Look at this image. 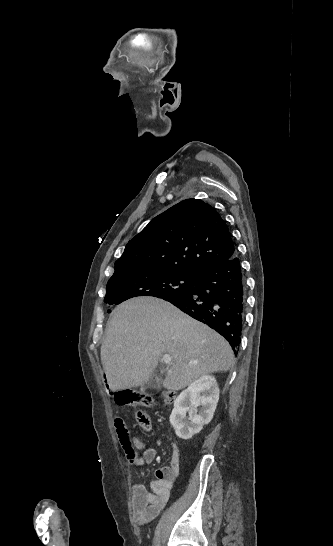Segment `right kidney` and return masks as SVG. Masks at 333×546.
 Here are the masks:
<instances>
[{"label": "right kidney", "instance_id": "1", "mask_svg": "<svg viewBox=\"0 0 333 546\" xmlns=\"http://www.w3.org/2000/svg\"><path fill=\"white\" fill-rule=\"evenodd\" d=\"M218 400L219 388L213 376L204 375L191 383L174 401L170 423L176 435L187 440L199 433L213 418Z\"/></svg>", "mask_w": 333, "mask_h": 546}]
</instances>
